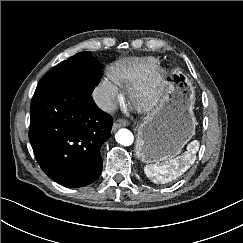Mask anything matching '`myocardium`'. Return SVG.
I'll list each match as a JSON object with an SVG mask.
<instances>
[{"instance_id": "1", "label": "myocardium", "mask_w": 243, "mask_h": 243, "mask_svg": "<svg viewBox=\"0 0 243 243\" xmlns=\"http://www.w3.org/2000/svg\"><path fill=\"white\" fill-rule=\"evenodd\" d=\"M165 75L166 69L156 66L144 80L133 86L131 92L133 102L142 107L154 104Z\"/></svg>"}]
</instances>
